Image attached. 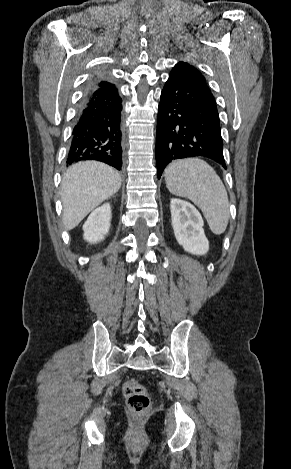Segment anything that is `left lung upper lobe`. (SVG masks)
Instances as JSON below:
<instances>
[{"instance_id": "1", "label": "left lung upper lobe", "mask_w": 291, "mask_h": 469, "mask_svg": "<svg viewBox=\"0 0 291 469\" xmlns=\"http://www.w3.org/2000/svg\"><path fill=\"white\" fill-rule=\"evenodd\" d=\"M174 69L184 70L190 78H192L193 80H195L202 86L208 88V86L206 85L204 76L194 66L185 62H179L175 65L173 70Z\"/></svg>"}]
</instances>
